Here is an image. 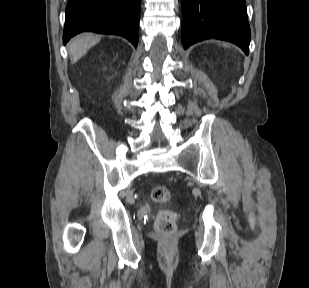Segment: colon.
<instances>
[{
    "instance_id": "colon-1",
    "label": "colon",
    "mask_w": 309,
    "mask_h": 288,
    "mask_svg": "<svg viewBox=\"0 0 309 288\" xmlns=\"http://www.w3.org/2000/svg\"><path fill=\"white\" fill-rule=\"evenodd\" d=\"M151 196L157 202H165L170 199V190L164 185L155 186ZM155 226L157 231L164 236L173 234L176 230V215L174 212L165 210L158 214Z\"/></svg>"
}]
</instances>
